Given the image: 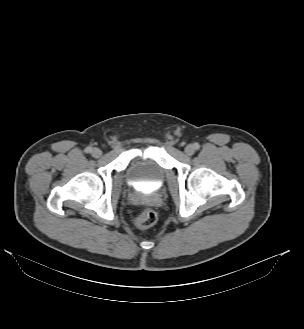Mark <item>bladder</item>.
Instances as JSON below:
<instances>
[{
	"label": "bladder",
	"mask_w": 304,
	"mask_h": 329,
	"mask_svg": "<svg viewBox=\"0 0 304 329\" xmlns=\"http://www.w3.org/2000/svg\"><path fill=\"white\" fill-rule=\"evenodd\" d=\"M126 179L134 186L144 184L153 187L160 186L164 182V171L161 166L147 158H135L126 166Z\"/></svg>",
	"instance_id": "bladder-1"
}]
</instances>
